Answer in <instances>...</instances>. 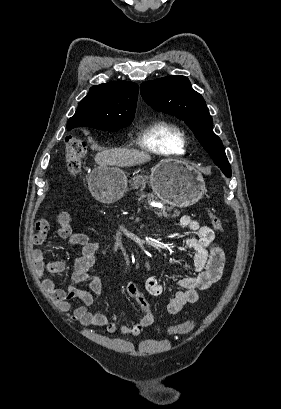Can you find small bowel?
I'll return each mask as SVG.
<instances>
[{
	"mask_svg": "<svg viewBox=\"0 0 281 409\" xmlns=\"http://www.w3.org/2000/svg\"><path fill=\"white\" fill-rule=\"evenodd\" d=\"M39 220L41 222H34L33 225L35 234L32 235L31 242L34 245L42 244L51 228L50 222H42L44 220L42 217ZM58 224V237L66 240L72 246L81 248V255L75 261V269L69 287L60 288L50 278H45L42 282L44 290L57 303L58 308L69 312L72 308V300L79 299L82 305L73 310L72 320L78 321L83 326L105 327L109 333H120L125 336H138L145 328L154 325L156 315L134 282H129L125 290L142 309L143 316L138 321L119 324L115 315L108 316L88 309L95 303L102 289L101 279L87 273L95 261L99 246L96 242L90 241L86 234L72 231L68 212L60 213ZM180 224L194 232V236L186 242L187 247L194 252V274L179 281L178 284L183 290L178 291L167 305V311L172 315L179 313L185 305L197 302L200 291L210 288L220 280L225 266L224 251L216 245L215 235L210 227L201 225L189 215L182 216ZM33 259L40 275L43 271L50 274L61 273L66 268L63 261H47L41 249L33 251ZM82 282L88 283L90 291L77 287V284ZM145 288L154 296L159 295L162 291L161 285L154 277L146 280ZM173 329L170 328L168 332Z\"/></svg>",
	"mask_w": 281,
	"mask_h": 409,
	"instance_id": "small-bowel-1",
	"label": "small bowel"
}]
</instances>
